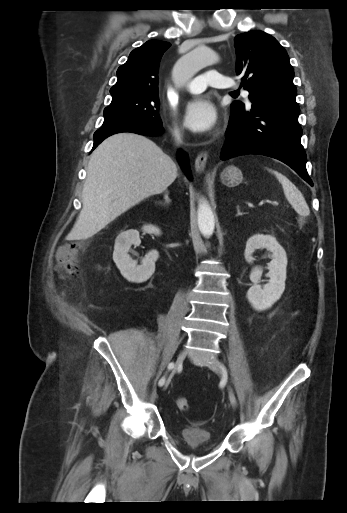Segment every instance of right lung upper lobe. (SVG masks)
I'll return each instance as SVG.
<instances>
[{
  "instance_id": "obj_1",
  "label": "right lung upper lobe",
  "mask_w": 347,
  "mask_h": 513,
  "mask_svg": "<svg viewBox=\"0 0 347 513\" xmlns=\"http://www.w3.org/2000/svg\"><path fill=\"white\" fill-rule=\"evenodd\" d=\"M169 42L149 40L133 50L127 62L117 70V83L110 93L115 97L124 93H158V69Z\"/></svg>"
}]
</instances>
